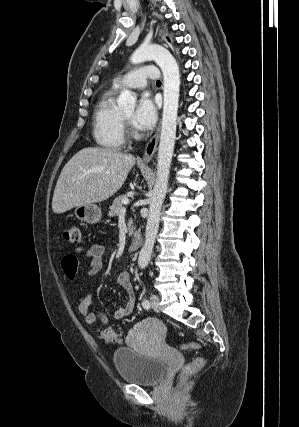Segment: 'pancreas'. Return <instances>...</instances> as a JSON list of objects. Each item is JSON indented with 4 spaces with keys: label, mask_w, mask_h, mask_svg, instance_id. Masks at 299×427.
<instances>
[{
    "label": "pancreas",
    "mask_w": 299,
    "mask_h": 427,
    "mask_svg": "<svg viewBox=\"0 0 299 427\" xmlns=\"http://www.w3.org/2000/svg\"><path fill=\"white\" fill-rule=\"evenodd\" d=\"M123 199H124V196H119L114 200L113 204L109 206L110 217L116 216L120 213V210L123 207V202H122ZM134 230L135 228L133 226V220L130 219L128 222V235L132 236L134 233Z\"/></svg>",
    "instance_id": "pancreas-1"
}]
</instances>
